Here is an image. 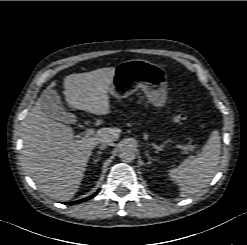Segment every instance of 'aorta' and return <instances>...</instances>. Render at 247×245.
<instances>
[{"label":"aorta","instance_id":"762f6f07","mask_svg":"<svg viewBox=\"0 0 247 245\" xmlns=\"http://www.w3.org/2000/svg\"><path fill=\"white\" fill-rule=\"evenodd\" d=\"M136 157V151L135 148L126 143L123 146H121L120 150H119V158L123 161V162H132Z\"/></svg>","mask_w":247,"mask_h":245}]
</instances>
